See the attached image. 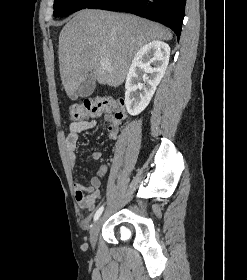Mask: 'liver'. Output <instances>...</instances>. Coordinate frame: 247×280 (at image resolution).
<instances>
[{"label":"liver","instance_id":"liver-1","mask_svg":"<svg viewBox=\"0 0 247 280\" xmlns=\"http://www.w3.org/2000/svg\"><path fill=\"white\" fill-rule=\"evenodd\" d=\"M164 26L129 14L84 9L72 17L59 35V69L71 98L91 73L101 85L118 87L140 48L153 40H171ZM107 58L109 64L100 65Z\"/></svg>","mask_w":247,"mask_h":280}]
</instances>
